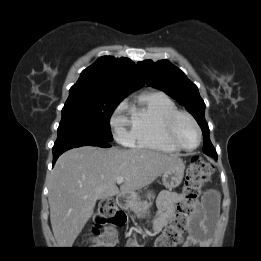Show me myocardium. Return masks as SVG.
I'll return each instance as SVG.
<instances>
[{
    "label": "myocardium",
    "mask_w": 261,
    "mask_h": 261,
    "mask_svg": "<svg viewBox=\"0 0 261 261\" xmlns=\"http://www.w3.org/2000/svg\"><path fill=\"white\" fill-rule=\"evenodd\" d=\"M182 118L188 119L195 127L197 133H198V142L194 147L188 148L185 147L181 142L179 141L177 137V126ZM165 131L168 140L170 143L175 146L177 149L186 151V152H191L196 150L201 142H202V130L197 122V120L188 112L186 111H177L173 113L166 121L165 123Z\"/></svg>",
    "instance_id": "obj_1"
}]
</instances>
